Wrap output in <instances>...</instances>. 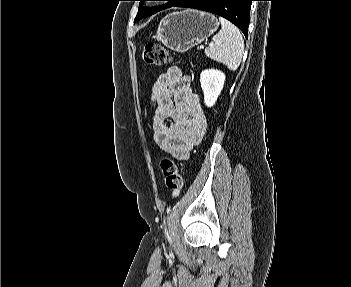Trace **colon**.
Returning <instances> with one entry per match:
<instances>
[{
    "mask_svg": "<svg viewBox=\"0 0 351 287\" xmlns=\"http://www.w3.org/2000/svg\"><path fill=\"white\" fill-rule=\"evenodd\" d=\"M142 60L149 66H163L169 63L170 56L162 45L150 43L142 51ZM161 169L171 197L177 198L183 186L177 164L171 158H164L161 161Z\"/></svg>",
    "mask_w": 351,
    "mask_h": 287,
    "instance_id": "obj_1",
    "label": "colon"
}]
</instances>
